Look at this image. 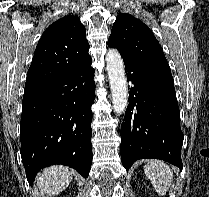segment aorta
Here are the masks:
<instances>
[{"label": "aorta", "instance_id": "762f6f07", "mask_svg": "<svg viewBox=\"0 0 209 197\" xmlns=\"http://www.w3.org/2000/svg\"><path fill=\"white\" fill-rule=\"evenodd\" d=\"M106 63L114 112L120 115L128 105V91L124 63L117 49L107 52Z\"/></svg>", "mask_w": 209, "mask_h": 197}]
</instances>
